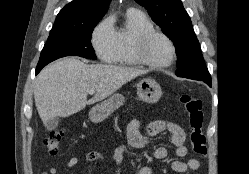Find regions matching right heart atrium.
I'll return each instance as SVG.
<instances>
[{
    "label": "right heart atrium",
    "instance_id": "d8ad5b80",
    "mask_svg": "<svg viewBox=\"0 0 249 174\" xmlns=\"http://www.w3.org/2000/svg\"><path fill=\"white\" fill-rule=\"evenodd\" d=\"M91 43L96 55L104 62H111L118 49L115 29L109 19L101 21L93 31Z\"/></svg>",
    "mask_w": 249,
    "mask_h": 174
}]
</instances>
